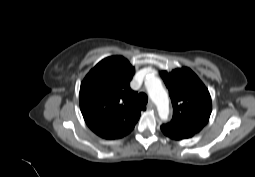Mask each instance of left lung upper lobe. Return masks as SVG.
Instances as JSON below:
<instances>
[{"label": "left lung upper lobe", "instance_id": "left-lung-upper-lobe-1", "mask_svg": "<svg viewBox=\"0 0 255 177\" xmlns=\"http://www.w3.org/2000/svg\"><path fill=\"white\" fill-rule=\"evenodd\" d=\"M161 76L169 90L173 119L161 126L163 133L176 140L197 134L207 123L212 110L208 89L189 68L183 67Z\"/></svg>", "mask_w": 255, "mask_h": 177}]
</instances>
